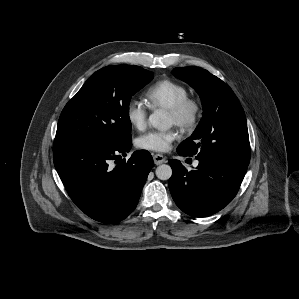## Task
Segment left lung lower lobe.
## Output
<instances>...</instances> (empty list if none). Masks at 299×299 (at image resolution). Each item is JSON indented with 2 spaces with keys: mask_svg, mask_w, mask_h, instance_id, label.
<instances>
[{
  "mask_svg": "<svg viewBox=\"0 0 299 299\" xmlns=\"http://www.w3.org/2000/svg\"><path fill=\"white\" fill-rule=\"evenodd\" d=\"M169 164L173 170L169 179L172 197L183 212L193 217L210 216L228 205L237 194L248 167L199 160L195 170L187 171L178 160L170 159Z\"/></svg>",
  "mask_w": 299,
  "mask_h": 299,
  "instance_id": "obj_1",
  "label": "left lung lower lobe"
}]
</instances>
